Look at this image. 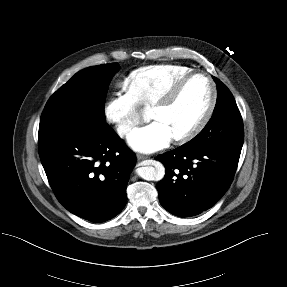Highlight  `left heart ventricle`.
<instances>
[{"label":"left heart ventricle","instance_id":"1","mask_svg":"<svg viewBox=\"0 0 287 287\" xmlns=\"http://www.w3.org/2000/svg\"><path fill=\"white\" fill-rule=\"evenodd\" d=\"M211 97L209 83L203 77H194L181 89L175 101L167 108L151 110L149 117L162 122L172 137L192 128L204 114Z\"/></svg>","mask_w":287,"mask_h":287}]
</instances>
